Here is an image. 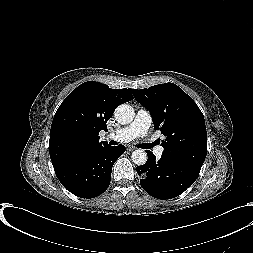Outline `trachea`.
I'll return each instance as SVG.
<instances>
[{
    "label": "trachea",
    "mask_w": 253,
    "mask_h": 253,
    "mask_svg": "<svg viewBox=\"0 0 253 253\" xmlns=\"http://www.w3.org/2000/svg\"><path fill=\"white\" fill-rule=\"evenodd\" d=\"M112 142H114V141H112ZM114 143H116V142H114ZM152 146H153L152 144H142V145H141V147L144 148V149H149V148H151Z\"/></svg>",
    "instance_id": "obj_1"
}]
</instances>
